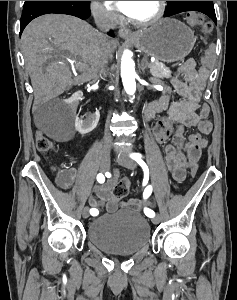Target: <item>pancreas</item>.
I'll list each match as a JSON object with an SVG mask.
<instances>
[{"label": "pancreas", "mask_w": 237, "mask_h": 300, "mask_svg": "<svg viewBox=\"0 0 237 300\" xmlns=\"http://www.w3.org/2000/svg\"><path fill=\"white\" fill-rule=\"evenodd\" d=\"M152 64L157 66L154 69H152V68L150 69V73H151V75H153V77H160V79H170L171 71H169V69H167V67H165V65H163V63H159V61H155V63H152ZM148 65L149 64L147 63V66Z\"/></svg>", "instance_id": "cf45deb5"}]
</instances>
